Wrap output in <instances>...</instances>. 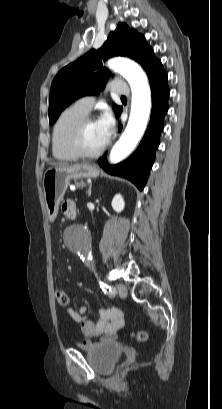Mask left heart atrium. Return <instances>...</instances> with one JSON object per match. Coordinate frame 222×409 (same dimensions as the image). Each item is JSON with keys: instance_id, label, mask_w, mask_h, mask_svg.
<instances>
[{"instance_id": "39dd6f15", "label": "left heart atrium", "mask_w": 222, "mask_h": 409, "mask_svg": "<svg viewBox=\"0 0 222 409\" xmlns=\"http://www.w3.org/2000/svg\"><path fill=\"white\" fill-rule=\"evenodd\" d=\"M96 123L100 129L105 144L108 142L114 131L113 116L109 111H106L99 117Z\"/></svg>"}]
</instances>
